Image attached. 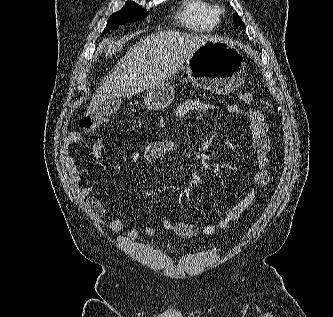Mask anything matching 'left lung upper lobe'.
Listing matches in <instances>:
<instances>
[{
  "label": "left lung upper lobe",
  "instance_id": "1",
  "mask_svg": "<svg viewBox=\"0 0 333 317\" xmlns=\"http://www.w3.org/2000/svg\"><path fill=\"white\" fill-rule=\"evenodd\" d=\"M234 21H235L237 24L241 25L242 27H245L243 21L241 20V18L238 16L237 13L234 14Z\"/></svg>",
  "mask_w": 333,
  "mask_h": 317
}]
</instances>
